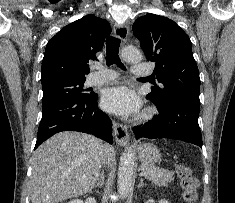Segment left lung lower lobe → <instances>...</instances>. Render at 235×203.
Instances as JSON below:
<instances>
[{
  "label": "left lung lower lobe",
  "instance_id": "obj_1",
  "mask_svg": "<svg viewBox=\"0 0 235 203\" xmlns=\"http://www.w3.org/2000/svg\"><path fill=\"white\" fill-rule=\"evenodd\" d=\"M152 102L156 104L159 115L133 129L137 139L170 138L202 148V136L198 125L199 98L191 95H178L163 104Z\"/></svg>",
  "mask_w": 235,
  "mask_h": 203
}]
</instances>
